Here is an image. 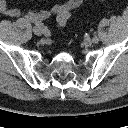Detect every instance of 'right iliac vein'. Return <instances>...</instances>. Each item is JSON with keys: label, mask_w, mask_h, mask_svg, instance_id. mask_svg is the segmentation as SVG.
<instances>
[{"label": "right iliac vein", "mask_w": 128, "mask_h": 128, "mask_svg": "<svg viewBox=\"0 0 128 128\" xmlns=\"http://www.w3.org/2000/svg\"><path fill=\"white\" fill-rule=\"evenodd\" d=\"M34 33L37 35V36H40L41 35V30L39 27H34L33 29Z\"/></svg>", "instance_id": "right-iliac-vein-1"}]
</instances>
